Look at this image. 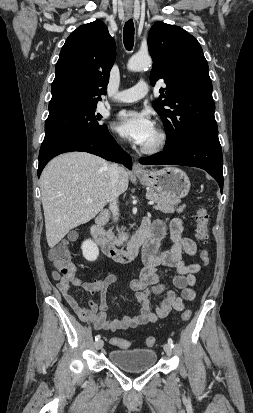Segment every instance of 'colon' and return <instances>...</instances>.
Masks as SVG:
<instances>
[{"instance_id": "obj_1", "label": "colon", "mask_w": 253, "mask_h": 413, "mask_svg": "<svg viewBox=\"0 0 253 413\" xmlns=\"http://www.w3.org/2000/svg\"><path fill=\"white\" fill-rule=\"evenodd\" d=\"M194 219L196 223L195 237L201 244L206 246L209 241V214L207 210L203 206H199L196 210ZM74 238V235H71L68 239H65L62 242L58 243L49 251V258L51 262L53 263L57 271L63 276H67L72 273L69 245ZM200 259L204 265L209 264L210 257L206 249L201 250ZM190 318L191 310L187 309L183 311L181 319L183 321H188ZM110 342L111 344L124 349L130 346L129 341L117 337L111 338ZM145 342L147 346H153L155 343V339L154 337L149 336L146 338Z\"/></svg>"}]
</instances>
